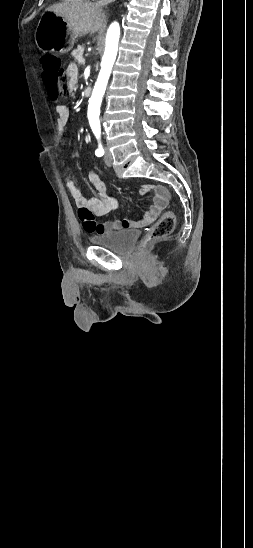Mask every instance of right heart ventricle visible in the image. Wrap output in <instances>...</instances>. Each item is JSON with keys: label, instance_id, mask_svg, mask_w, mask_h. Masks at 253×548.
Returning <instances> with one entry per match:
<instances>
[{"label": "right heart ventricle", "instance_id": "right-heart-ventricle-1", "mask_svg": "<svg viewBox=\"0 0 253 548\" xmlns=\"http://www.w3.org/2000/svg\"><path fill=\"white\" fill-rule=\"evenodd\" d=\"M63 1H66V2H82L84 0H63Z\"/></svg>", "mask_w": 253, "mask_h": 548}]
</instances>
